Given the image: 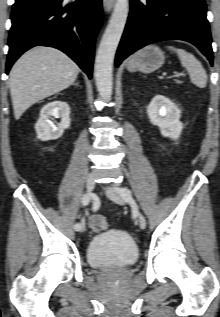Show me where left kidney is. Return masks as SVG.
<instances>
[{
	"label": "left kidney",
	"mask_w": 220,
	"mask_h": 317,
	"mask_svg": "<svg viewBox=\"0 0 220 317\" xmlns=\"http://www.w3.org/2000/svg\"><path fill=\"white\" fill-rule=\"evenodd\" d=\"M150 122L160 128L161 134L177 140L182 131L180 111L168 98L156 95L147 107Z\"/></svg>",
	"instance_id": "obj_1"
}]
</instances>
